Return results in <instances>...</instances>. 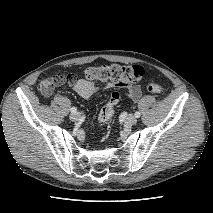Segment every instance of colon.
Listing matches in <instances>:
<instances>
[{
  "label": "colon",
  "instance_id": "1",
  "mask_svg": "<svg viewBox=\"0 0 213 213\" xmlns=\"http://www.w3.org/2000/svg\"><path fill=\"white\" fill-rule=\"evenodd\" d=\"M83 75L91 81L112 82L119 86L134 87L143 79L145 70L140 65L110 64L88 67L84 70ZM74 79V75L60 72L54 77L44 79L42 85H45L49 81L71 83ZM148 90L153 93H159L164 90V87L159 84H149ZM119 98L118 92H113L110 95L107 103L100 112V119L102 121L109 122L112 120Z\"/></svg>",
  "mask_w": 213,
  "mask_h": 213
}]
</instances>
